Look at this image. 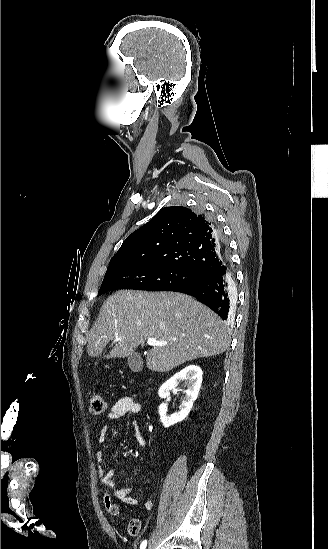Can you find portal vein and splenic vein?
Masks as SVG:
<instances>
[{"mask_svg":"<svg viewBox=\"0 0 328 549\" xmlns=\"http://www.w3.org/2000/svg\"><path fill=\"white\" fill-rule=\"evenodd\" d=\"M115 341H122L121 337H115ZM171 341H176V339H171ZM147 345H152V347H165L168 345L167 341H156V339H147Z\"/></svg>","mask_w":328,"mask_h":549,"instance_id":"portal-vein-and-splenic-vein-1","label":"portal vein and splenic vein"}]
</instances>
